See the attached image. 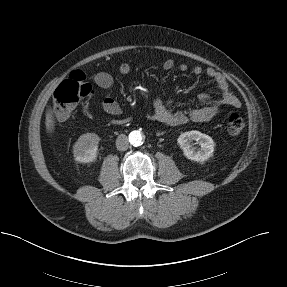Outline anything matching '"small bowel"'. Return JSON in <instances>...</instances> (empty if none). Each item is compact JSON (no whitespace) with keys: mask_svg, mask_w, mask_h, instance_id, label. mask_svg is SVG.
I'll list each match as a JSON object with an SVG mask.
<instances>
[{"mask_svg":"<svg viewBox=\"0 0 287 287\" xmlns=\"http://www.w3.org/2000/svg\"><path fill=\"white\" fill-rule=\"evenodd\" d=\"M175 66V61L171 58H168L163 62V68L165 70H171ZM177 68L181 72L189 70V66L185 63L178 64ZM130 71L131 67L128 63H122L119 67V72L122 75H126ZM191 72L197 76L205 74L215 84L219 97L212 98L207 94H202L198 98L200 103L198 108L173 112L170 109V102L163 101L162 98L157 95L153 102V109L149 115L150 119L168 126H178L189 121H208L217 115L224 106L240 108L241 101L230 90L226 78L219 71L211 67L203 69L201 66L196 65L191 68ZM93 81L98 87L103 89H108L113 85V77L107 72L96 73L93 77ZM102 108L110 115H119L121 113V107L111 97L103 99Z\"/></svg>","mask_w":287,"mask_h":287,"instance_id":"c3829d8e","label":"small bowel"}]
</instances>
